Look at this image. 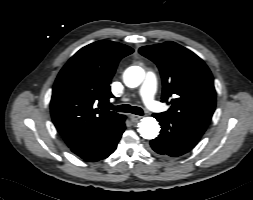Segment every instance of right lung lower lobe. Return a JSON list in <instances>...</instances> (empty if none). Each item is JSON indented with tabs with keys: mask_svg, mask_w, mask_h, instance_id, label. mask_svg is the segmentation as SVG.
<instances>
[{
	"mask_svg": "<svg viewBox=\"0 0 253 200\" xmlns=\"http://www.w3.org/2000/svg\"><path fill=\"white\" fill-rule=\"evenodd\" d=\"M124 122L125 116L103 134L72 147V152L90 162L108 157L115 151L117 143L125 130Z\"/></svg>",
	"mask_w": 253,
	"mask_h": 200,
	"instance_id": "obj_1",
	"label": "right lung lower lobe"
}]
</instances>
